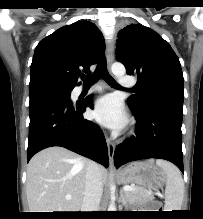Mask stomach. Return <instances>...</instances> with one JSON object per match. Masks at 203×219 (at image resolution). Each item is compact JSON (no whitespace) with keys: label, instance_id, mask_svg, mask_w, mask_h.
<instances>
[{"label":"stomach","instance_id":"1","mask_svg":"<svg viewBox=\"0 0 203 219\" xmlns=\"http://www.w3.org/2000/svg\"><path fill=\"white\" fill-rule=\"evenodd\" d=\"M118 179L123 184L135 183L149 190H157L166 183L164 170L145 161L133 162L119 171Z\"/></svg>","mask_w":203,"mask_h":219}]
</instances>
